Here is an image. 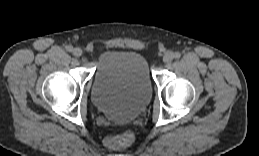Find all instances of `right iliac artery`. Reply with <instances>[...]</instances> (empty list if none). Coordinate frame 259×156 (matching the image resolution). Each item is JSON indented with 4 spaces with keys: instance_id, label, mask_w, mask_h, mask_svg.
<instances>
[{
    "instance_id": "right-iliac-artery-1",
    "label": "right iliac artery",
    "mask_w": 259,
    "mask_h": 156,
    "mask_svg": "<svg viewBox=\"0 0 259 156\" xmlns=\"http://www.w3.org/2000/svg\"><path fill=\"white\" fill-rule=\"evenodd\" d=\"M66 50L68 52H72L73 51V47L71 45H68V46H66Z\"/></svg>"
}]
</instances>
